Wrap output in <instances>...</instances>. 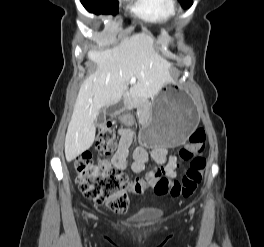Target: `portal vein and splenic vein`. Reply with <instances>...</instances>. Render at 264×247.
<instances>
[{
  "mask_svg": "<svg viewBox=\"0 0 264 247\" xmlns=\"http://www.w3.org/2000/svg\"><path fill=\"white\" fill-rule=\"evenodd\" d=\"M135 82V79L133 78V79H131V83H134Z\"/></svg>",
  "mask_w": 264,
  "mask_h": 247,
  "instance_id": "portal-vein-and-splenic-vein-1",
  "label": "portal vein and splenic vein"
}]
</instances>
